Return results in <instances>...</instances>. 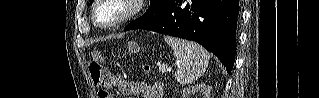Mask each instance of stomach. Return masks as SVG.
Here are the masks:
<instances>
[{"instance_id": "stomach-1", "label": "stomach", "mask_w": 319, "mask_h": 98, "mask_svg": "<svg viewBox=\"0 0 319 98\" xmlns=\"http://www.w3.org/2000/svg\"><path fill=\"white\" fill-rule=\"evenodd\" d=\"M127 48L130 53H137L141 49L138 43L136 42H129Z\"/></svg>"}]
</instances>
